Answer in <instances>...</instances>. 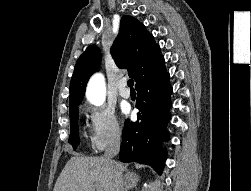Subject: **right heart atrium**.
I'll return each instance as SVG.
<instances>
[{"label":"right heart atrium","instance_id":"1","mask_svg":"<svg viewBox=\"0 0 251 191\" xmlns=\"http://www.w3.org/2000/svg\"><path fill=\"white\" fill-rule=\"evenodd\" d=\"M89 141L93 151L100 152L119 142L122 129L114 112L105 106L87 105Z\"/></svg>","mask_w":251,"mask_h":191}]
</instances>
